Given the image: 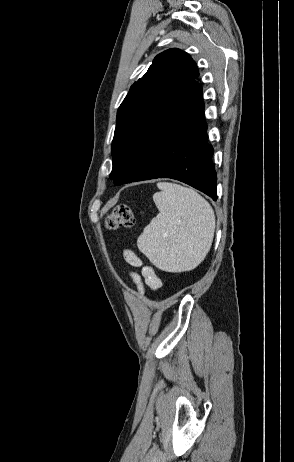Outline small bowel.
<instances>
[{
	"mask_svg": "<svg viewBox=\"0 0 294 462\" xmlns=\"http://www.w3.org/2000/svg\"><path fill=\"white\" fill-rule=\"evenodd\" d=\"M124 258L133 267H140L142 266V262L137 257V255L130 251H124ZM139 292L143 294L145 292V287L147 286L152 291H157L160 289L162 282L160 278L157 276L154 269L150 266H143L141 270V274L132 273L131 274Z\"/></svg>",
	"mask_w": 294,
	"mask_h": 462,
	"instance_id": "small-bowel-1",
	"label": "small bowel"
}]
</instances>
